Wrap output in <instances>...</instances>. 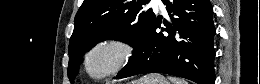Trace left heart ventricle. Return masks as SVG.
Returning <instances> with one entry per match:
<instances>
[{
	"instance_id": "1",
	"label": "left heart ventricle",
	"mask_w": 260,
	"mask_h": 84,
	"mask_svg": "<svg viewBox=\"0 0 260 84\" xmlns=\"http://www.w3.org/2000/svg\"><path fill=\"white\" fill-rule=\"evenodd\" d=\"M108 63H109V56L107 54L100 53L94 59L93 67L96 71H102L107 67Z\"/></svg>"
}]
</instances>
